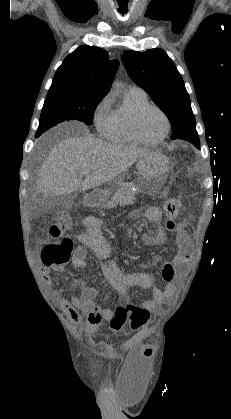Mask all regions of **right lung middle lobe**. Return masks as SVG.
<instances>
[{
  "instance_id": "obj_1",
  "label": "right lung middle lobe",
  "mask_w": 231,
  "mask_h": 419,
  "mask_svg": "<svg viewBox=\"0 0 231 419\" xmlns=\"http://www.w3.org/2000/svg\"><path fill=\"white\" fill-rule=\"evenodd\" d=\"M101 100L102 97L76 96L65 89L49 90L36 137L64 121L78 120L92 125L95 109Z\"/></svg>"
}]
</instances>
